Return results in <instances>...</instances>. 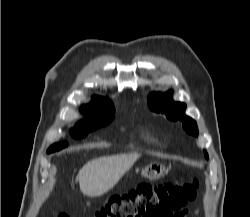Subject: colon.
Returning a JSON list of instances; mask_svg holds the SVG:
<instances>
[{"mask_svg":"<svg viewBox=\"0 0 250 217\" xmlns=\"http://www.w3.org/2000/svg\"><path fill=\"white\" fill-rule=\"evenodd\" d=\"M199 185L197 179L160 185L141 184L113 197L94 217H182V209L192 201ZM57 217H69L58 214Z\"/></svg>","mask_w":250,"mask_h":217,"instance_id":"colon-1","label":"colon"}]
</instances>
